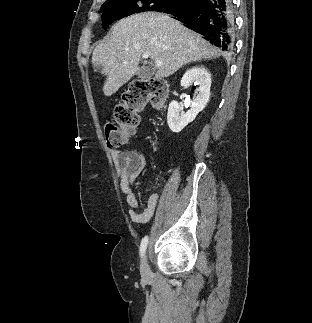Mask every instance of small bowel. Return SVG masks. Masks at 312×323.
<instances>
[{
    "mask_svg": "<svg viewBox=\"0 0 312 323\" xmlns=\"http://www.w3.org/2000/svg\"><path fill=\"white\" fill-rule=\"evenodd\" d=\"M111 156L120 179V188L126 196L130 220L139 225L148 223L155 214L160 195L149 191L147 205L142 212L138 213L139 201L132 189V185L144 168V159L132 150L113 149Z\"/></svg>",
    "mask_w": 312,
    "mask_h": 323,
    "instance_id": "c3829d8e",
    "label": "small bowel"
}]
</instances>
